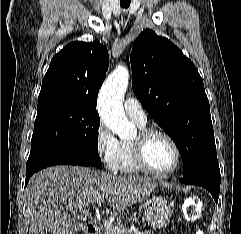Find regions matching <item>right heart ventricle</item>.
<instances>
[{
	"mask_svg": "<svg viewBox=\"0 0 241 234\" xmlns=\"http://www.w3.org/2000/svg\"><path fill=\"white\" fill-rule=\"evenodd\" d=\"M117 171L129 175L138 174L141 171L134 159L132 141L120 142Z\"/></svg>",
	"mask_w": 241,
	"mask_h": 234,
	"instance_id": "1",
	"label": "right heart ventricle"
}]
</instances>
